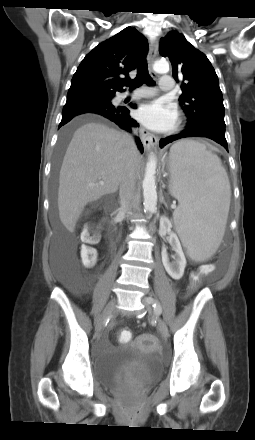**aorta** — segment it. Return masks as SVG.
<instances>
[{
	"mask_svg": "<svg viewBox=\"0 0 255 440\" xmlns=\"http://www.w3.org/2000/svg\"><path fill=\"white\" fill-rule=\"evenodd\" d=\"M153 69L157 73H167L169 71V64L164 60H158L154 63ZM156 173V158L151 155L145 169V175L142 182L144 210L148 213H153L157 206V191L155 184Z\"/></svg>",
	"mask_w": 255,
	"mask_h": 440,
	"instance_id": "aorta-1",
	"label": "aorta"
}]
</instances>
